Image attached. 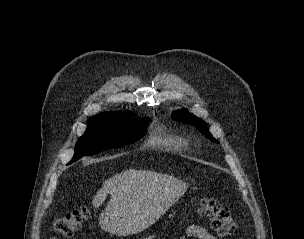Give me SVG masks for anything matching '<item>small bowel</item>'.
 <instances>
[{"label": "small bowel", "instance_id": "small-bowel-1", "mask_svg": "<svg viewBox=\"0 0 304 239\" xmlns=\"http://www.w3.org/2000/svg\"><path fill=\"white\" fill-rule=\"evenodd\" d=\"M218 239L213 234L209 233L206 229L198 225L189 226L185 232V235L179 237V239ZM50 239H58L56 237H51Z\"/></svg>", "mask_w": 304, "mask_h": 239}]
</instances>
